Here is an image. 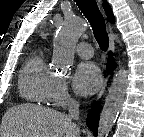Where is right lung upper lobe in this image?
Masks as SVG:
<instances>
[{"label":"right lung upper lobe","mask_w":144,"mask_h":137,"mask_svg":"<svg viewBox=\"0 0 144 137\" xmlns=\"http://www.w3.org/2000/svg\"><path fill=\"white\" fill-rule=\"evenodd\" d=\"M103 7H104V10L106 11L108 20H109L111 23H113V22H114V15H113V13H112L111 7L109 6V4L107 3L106 0H103Z\"/></svg>","instance_id":"1"}]
</instances>
